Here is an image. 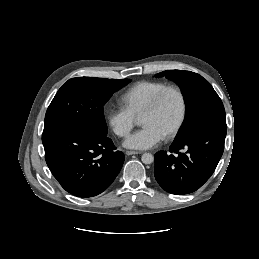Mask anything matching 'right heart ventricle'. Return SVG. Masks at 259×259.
Masks as SVG:
<instances>
[{"label": "right heart ventricle", "mask_w": 259, "mask_h": 259, "mask_svg": "<svg viewBox=\"0 0 259 259\" xmlns=\"http://www.w3.org/2000/svg\"><path fill=\"white\" fill-rule=\"evenodd\" d=\"M166 86L161 81H142L129 88L122 96L124 107L136 118L140 117L156 95Z\"/></svg>", "instance_id": "right-heart-ventricle-1"}]
</instances>
